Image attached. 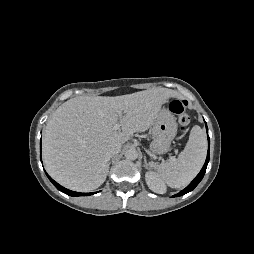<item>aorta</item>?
I'll list each match as a JSON object with an SVG mask.
<instances>
[{
	"label": "aorta",
	"instance_id": "obj_1",
	"mask_svg": "<svg viewBox=\"0 0 254 254\" xmlns=\"http://www.w3.org/2000/svg\"><path fill=\"white\" fill-rule=\"evenodd\" d=\"M125 157L128 160H135L138 157V152L135 148H130L125 151Z\"/></svg>",
	"mask_w": 254,
	"mask_h": 254
}]
</instances>
